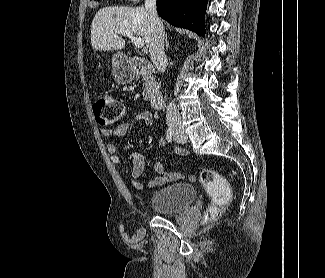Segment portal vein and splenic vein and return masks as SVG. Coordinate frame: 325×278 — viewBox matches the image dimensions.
<instances>
[{"instance_id":"1","label":"portal vein and splenic vein","mask_w":325,"mask_h":278,"mask_svg":"<svg viewBox=\"0 0 325 278\" xmlns=\"http://www.w3.org/2000/svg\"><path fill=\"white\" fill-rule=\"evenodd\" d=\"M117 33L128 36L137 48L144 47V40L141 37H135L134 34L126 29H118Z\"/></svg>"}]
</instances>
